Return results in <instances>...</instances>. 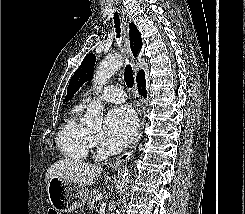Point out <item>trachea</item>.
Here are the masks:
<instances>
[{"label": "trachea", "instance_id": "1", "mask_svg": "<svg viewBox=\"0 0 245 214\" xmlns=\"http://www.w3.org/2000/svg\"><path fill=\"white\" fill-rule=\"evenodd\" d=\"M114 23H115V29L117 32V37H120V19H119V14L117 12L114 13ZM124 80L126 82V85L129 88H132L134 85V78H133V72H132V68L131 66L128 64L126 65L125 69H124Z\"/></svg>", "mask_w": 245, "mask_h": 214}]
</instances>
